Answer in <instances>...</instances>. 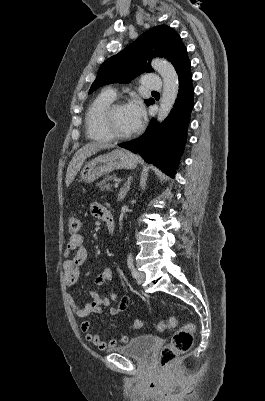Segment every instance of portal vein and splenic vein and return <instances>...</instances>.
<instances>
[{
	"instance_id": "obj_1",
	"label": "portal vein and splenic vein",
	"mask_w": 265,
	"mask_h": 401,
	"mask_svg": "<svg viewBox=\"0 0 265 401\" xmlns=\"http://www.w3.org/2000/svg\"><path fill=\"white\" fill-rule=\"evenodd\" d=\"M118 184H119V182H118V180H117V182H115V185H114V188H115V189H118V188H119V185H118Z\"/></svg>"
}]
</instances>
